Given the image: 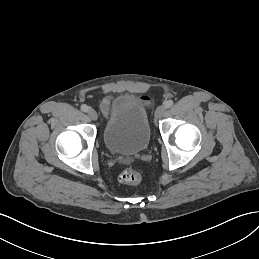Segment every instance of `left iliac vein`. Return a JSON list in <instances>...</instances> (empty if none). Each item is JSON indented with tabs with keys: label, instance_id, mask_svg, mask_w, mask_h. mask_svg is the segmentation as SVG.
Returning <instances> with one entry per match:
<instances>
[{
	"label": "left iliac vein",
	"instance_id": "1",
	"mask_svg": "<svg viewBox=\"0 0 259 259\" xmlns=\"http://www.w3.org/2000/svg\"><path fill=\"white\" fill-rule=\"evenodd\" d=\"M165 112H166V107H165V105H160V106L156 109V111H155V117H156L157 119H160V118H162V117L164 116Z\"/></svg>",
	"mask_w": 259,
	"mask_h": 259
}]
</instances>
